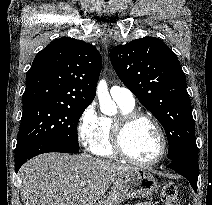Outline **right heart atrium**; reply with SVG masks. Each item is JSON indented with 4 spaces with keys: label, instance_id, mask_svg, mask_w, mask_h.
Returning <instances> with one entry per match:
<instances>
[{
    "label": "right heart atrium",
    "instance_id": "d8ad5b80",
    "mask_svg": "<svg viewBox=\"0 0 212 205\" xmlns=\"http://www.w3.org/2000/svg\"><path fill=\"white\" fill-rule=\"evenodd\" d=\"M99 126V117L96 113L95 105L89 104L79 116L76 125V136L78 142L89 147L94 141Z\"/></svg>",
    "mask_w": 212,
    "mask_h": 205
}]
</instances>
